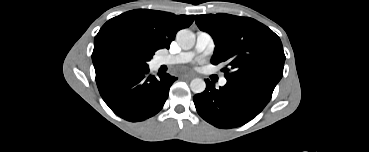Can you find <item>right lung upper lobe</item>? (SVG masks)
<instances>
[{
	"label": "right lung upper lobe",
	"mask_w": 369,
	"mask_h": 152,
	"mask_svg": "<svg viewBox=\"0 0 369 152\" xmlns=\"http://www.w3.org/2000/svg\"><path fill=\"white\" fill-rule=\"evenodd\" d=\"M194 15L136 9L125 12L107 21L96 38L105 36L111 40H124L135 43L151 52L169 48L176 33L189 27Z\"/></svg>",
	"instance_id": "cb5924a9"
}]
</instances>
